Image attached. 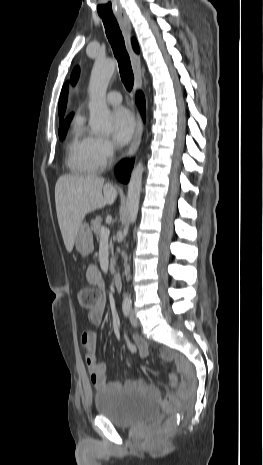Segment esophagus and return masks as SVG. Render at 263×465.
Wrapping results in <instances>:
<instances>
[{"label": "esophagus", "mask_w": 263, "mask_h": 465, "mask_svg": "<svg viewBox=\"0 0 263 465\" xmlns=\"http://www.w3.org/2000/svg\"><path fill=\"white\" fill-rule=\"evenodd\" d=\"M117 20L119 22V25L121 27V30L123 32L127 49L130 54L131 58V63H132V68L134 72V77H135V83H134V88L135 90H138L142 87V72H141V63H140V57L138 54H136L132 48L131 45V37H132V27L129 18L125 14H119L117 15ZM144 129V124L143 120L140 116L139 113H137V126H136V131L132 140V143L127 151V157L132 156L136 150L138 149V146L141 141L142 133Z\"/></svg>", "instance_id": "esophagus-1"}]
</instances>
